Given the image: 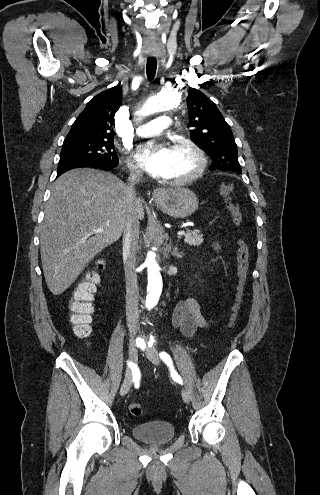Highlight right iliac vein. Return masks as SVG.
Wrapping results in <instances>:
<instances>
[{"instance_id": "right-iliac-vein-1", "label": "right iliac vein", "mask_w": 320, "mask_h": 495, "mask_svg": "<svg viewBox=\"0 0 320 495\" xmlns=\"http://www.w3.org/2000/svg\"><path fill=\"white\" fill-rule=\"evenodd\" d=\"M128 355H129V361L130 362L135 363L137 361L138 352H137V348L135 346L133 336H130V339H129ZM132 377H133L132 370L130 367H128L126 370L124 382H123L121 389H120V395L121 396H124L128 393V391L132 385Z\"/></svg>"}]
</instances>
